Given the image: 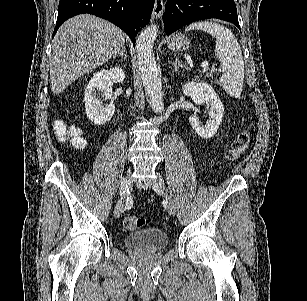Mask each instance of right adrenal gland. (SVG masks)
<instances>
[{"mask_svg":"<svg viewBox=\"0 0 307 301\" xmlns=\"http://www.w3.org/2000/svg\"><path fill=\"white\" fill-rule=\"evenodd\" d=\"M117 56H123V58L125 60V58H126L125 46H124V48H121L120 52H117V54H114V58H117Z\"/></svg>","mask_w":307,"mask_h":301,"instance_id":"right-adrenal-gland-1","label":"right adrenal gland"}]
</instances>
